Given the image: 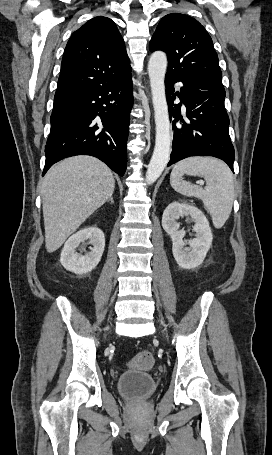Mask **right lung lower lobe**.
<instances>
[{"instance_id":"obj_1","label":"right lung lower lobe","mask_w":272,"mask_h":455,"mask_svg":"<svg viewBox=\"0 0 272 455\" xmlns=\"http://www.w3.org/2000/svg\"><path fill=\"white\" fill-rule=\"evenodd\" d=\"M132 104L131 74L54 102L43 175L63 158L87 154L123 176Z\"/></svg>"}]
</instances>
